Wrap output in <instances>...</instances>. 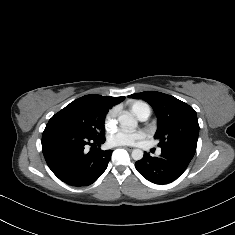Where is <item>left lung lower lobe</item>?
Wrapping results in <instances>:
<instances>
[{
	"mask_svg": "<svg viewBox=\"0 0 235 235\" xmlns=\"http://www.w3.org/2000/svg\"><path fill=\"white\" fill-rule=\"evenodd\" d=\"M194 154L177 147H161V156L144 157L135 163L137 171L152 183L166 184L177 179L187 168Z\"/></svg>",
	"mask_w": 235,
	"mask_h": 235,
	"instance_id": "1",
	"label": "left lung lower lobe"
}]
</instances>
